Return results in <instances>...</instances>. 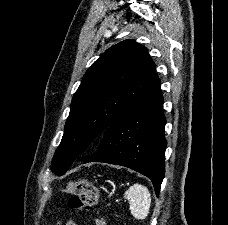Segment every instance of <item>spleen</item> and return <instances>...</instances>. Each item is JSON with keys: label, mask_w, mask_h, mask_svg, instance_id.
Masks as SVG:
<instances>
[{"label": "spleen", "mask_w": 228, "mask_h": 225, "mask_svg": "<svg viewBox=\"0 0 228 225\" xmlns=\"http://www.w3.org/2000/svg\"><path fill=\"white\" fill-rule=\"evenodd\" d=\"M124 199L129 201V211L135 219H146L151 207V195L147 187L143 185H132L124 193Z\"/></svg>", "instance_id": "spleen-1"}]
</instances>
